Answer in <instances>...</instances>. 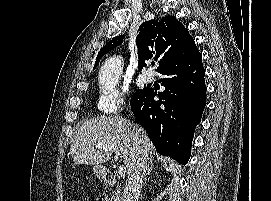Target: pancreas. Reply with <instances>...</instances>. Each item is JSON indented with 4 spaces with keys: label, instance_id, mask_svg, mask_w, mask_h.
I'll return each mask as SVG.
<instances>
[{
    "label": "pancreas",
    "instance_id": "cf45deb5",
    "mask_svg": "<svg viewBox=\"0 0 271 201\" xmlns=\"http://www.w3.org/2000/svg\"><path fill=\"white\" fill-rule=\"evenodd\" d=\"M121 195H120V190L117 189L115 194L110 195L109 197H106V201H120Z\"/></svg>",
    "mask_w": 271,
    "mask_h": 201
}]
</instances>
